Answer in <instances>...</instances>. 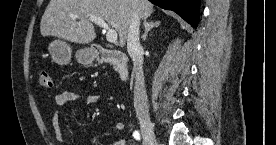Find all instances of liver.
I'll return each mask as SVG.
<instances>
[{
    "label": "liver",
    "mask_w": 276,
    "mask_h": 145,
    "mask_svg": "<svg viewBox=\"0 0 276 145\" xmlns=\"http://www.w3.org/2000/svg\"><path fill=\"white\" fill-rule=\"evenodd\" d=\"M134 12L146 20L153 12V5L148 0H50L41 19L40 32L42 36L88 44L96 37L94 25L88 20L94 15L117 31L123 47Z\"/></svg>",
    "instance_id": "obj_1"
}]
</instances>
